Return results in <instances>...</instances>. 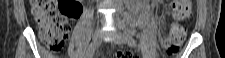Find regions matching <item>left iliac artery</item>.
Returning <instances> with one entry per match:
<instances>
[{"mask_svg":"<svg viewBox=\"0 0 225 58\" xmlns=\"http://www.w3.org/2000/svg\"><path fill=\"white\" fill-rule=\"evenodd\" d=\"M125 34H126V36H127V38H128V43H129V45H130V46H135V45H136V42H135V40L132 38L131 34H130V33H126V32H125Z\"/></svg>","mask_w":225,"mask_h":58,"instance_id":"obj_1","label":"left iliac artery"}]
</instances>
